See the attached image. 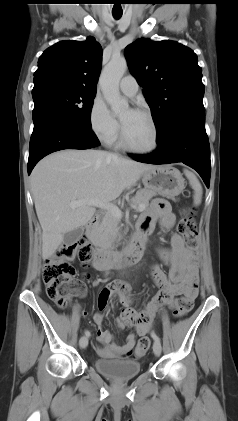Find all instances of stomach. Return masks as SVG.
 I'll return each instance as SVG.
<instances>
[{"instance_id": "obj_1", "label": "stomach", "mask_w": 238, "mask_h": 421, "mask_svg": "<svg viewBox=\"0 0 238 421\" xmlns=\"http://www.w3.org/2000/svg\"><path fill=\"white\" fill-rule=\"evenodd\" d=\"M147 189L168 197L179 195L184 190V178L179 170L167 165L153 166L142 174Z\"/></svg>"}]
</instances>
